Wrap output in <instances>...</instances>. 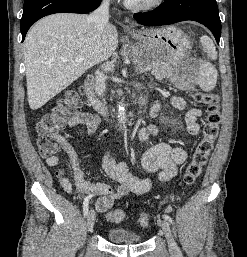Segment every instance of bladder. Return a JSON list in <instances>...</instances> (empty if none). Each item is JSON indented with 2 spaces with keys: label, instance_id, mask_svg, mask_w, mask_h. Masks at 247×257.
<instances>
[{
  "label": "bladder",
  "instance_id": "bladder-1",
  "mask_svg": "<svg viewBox=\"0 0 247 257\" xmlns=\"http://www.w3.org/2000/svg\"><path fill=\"white\" fill-rule=\"evenodd\" d=\"M107 238L114 244H137L143 241V236L122 227H113L108 230Z\"/></svg>",
  "mask_w": 247,
  "mask_h": 257
}]
</instances>
